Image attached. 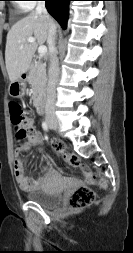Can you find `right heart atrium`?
I'll use <instances>...</instances> for the list:
<instances>
[{
	"mask_svg": "<svg viewBox=\"0 0 133 253\" xmlns=\"http://www.w3.org/2000/svg\"><path fill=\"white\" fill-rule=\"evenodd\" d=\"M34 6H35L34 0H21L19 2V7L24 11L31 10Z\"/></svg>",
	"mask_w": 133,
	"mask_h": 253,
	"instance_id": "1",
	"label": "right heart atrium"
}]
</instances>
